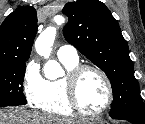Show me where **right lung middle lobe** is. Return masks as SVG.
Listing matches in <instances>:
<instances>
[{"mask_svg":"<svg viewBox=\"0 0 145 124\" xmlns=\"http://www.w3.org/2000/svg\"><path fill=\"white\" fill-rule=\"evenodd\" d=\"M26 61L0 62V105L27 103L23 94Z\"/></svg>","mask_w":145,"mask_h":124,"instance_id":"right-lung-middle-lobe-1","label":"right lung middle lobe"}]
</instances>
